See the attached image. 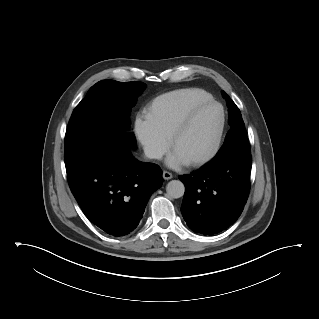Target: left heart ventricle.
<instances>
[{
    "label": "left heart ventricle",
    "instance_id": "obj_1",
    "mask_svg": "<svg viewBox=\"0 0 319 319\" xmlns=\"http://www.w3.org/2000/svg\"><path fill=\"white\" fill-rule=\"evenodd\" d=\"M220 121L218 106L201 109L189 129L175 142L173 151L186 162L206 156L215 146Z\"/></svg>",
    "mask_w": 319,
    "mask_h": 319
}]
</instances>
